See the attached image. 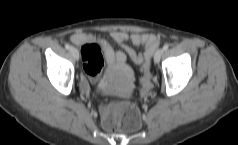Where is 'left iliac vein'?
<instances>
[{
	"label": "left iliac vein",
	"mask_w": 238,
	"mask_h": 145,
	"mask_svg": "<svg viewBox=\"0 0 238 145\" xmlns=\"http://www.w3.org/2000/svg\"><path fill=\"white\" fill-rule=\"evenodd\" d=\"M164 50L162 48L158 49L155 54H154V62L159 63L162 55H163Z\"/></svg>",
	"instance_id": "1"
}]
</instances>
